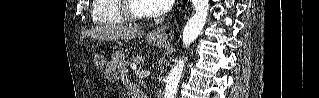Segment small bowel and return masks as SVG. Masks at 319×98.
I'll return each instance as SVG.
<instances>
[{
	"instance_id": "small-bowel-1",
	"label": "small bowel",
	"mask_w": 319,
	"mask_h": 98,
	"mask_svg": "<svg viewBox=\"0 0 319 98\" xmlns=\"http://www.w3.org/2000/svg\"><path fill=\"white\" fill-rule=\"evenodd\" d=\"M120 79H121V82L123 83V85L125 87H127L128 89L132 90L133 91V88L135 87L129 80H127L124 76V74L121 72L120 73Z\"/></svg>"
}]
</instances>
